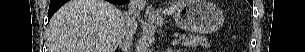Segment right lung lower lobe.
I'll use <instances>...</instances> for the list:
<instances>
[{"instance_id": "right-lung-lower-lobe-1", "label": "right lung lower lobe", "mask_w": 305, "mask_h": 52, "mask_svg": "<svg viewBox=\"0 0 305 52\" xmlns=\"http://www.w3.org/2000/svg\"><path fill=\"white\" fill-rule=\"evenodd\" d=\"M107 1L118 5H122L127 2V0H107ZM66 2L67 0H51L48 11V21L51 19L52 15Z\"/></svg>"}]
</instances>
